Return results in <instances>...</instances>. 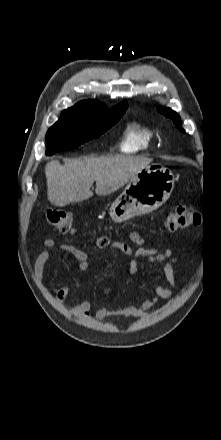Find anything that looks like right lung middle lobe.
Listing matches in <instances>:
<instances>
[{
  "mask_svg": "<svg viewBox=\"0 0 221 440\" xmlns=\"http://www.w3.org/2000/svg\"><path fill=\"white\" fill-rule=\"evenodd\" d=\"M119 110H64L60 119L47 131V155L76 148L82 143L99 137L112 127L125 113Z\"/></svg>",
  "mask_w": 221,
  "mask_h": 440,
  "instance_id": "obj_1",
  "label": "right lung middle lobe"
}]
</instances>
